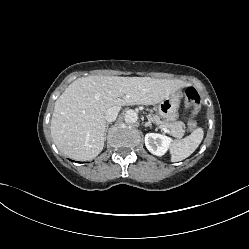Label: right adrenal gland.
Instances as JSON below:
<instances>
[{
	"label": "right adrenal gland",
	"instance_id": "obj_1",
	"mask_svg": "<svg viewBox=\"0 0 249 249\" xmlns=\"http://www.w3.org/2000/svg\"><path fill=\"white\" fill-rule=\"evenodd\" d=\"M110 124H112V122H109V123L106 124V131L105 132H107Z\"/></svg>",
	"mask_w": 249,
	"mask_h": 249
}]
</instances>
